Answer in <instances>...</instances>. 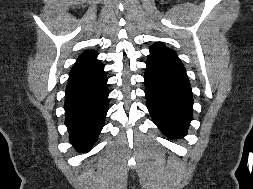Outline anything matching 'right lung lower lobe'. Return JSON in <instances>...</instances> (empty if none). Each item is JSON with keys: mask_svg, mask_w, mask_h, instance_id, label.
<instances>
[{"mask_svg": "<svg viewBox=\"0 0 253 189\" xmlns=\"http://www.w3.org/2000/svg\"><path fill=\"white\" fill-rule=\"evenodd\" d=\"M65 94V125L70 141L79 151L87 152L97 140L108 110L106 75L69 80Z\"/></svg>", "mask_w": 253, "mask_h": 189, "instance_id": "98d812e1", "label": "right lung lower lobe"}]
</instances>
